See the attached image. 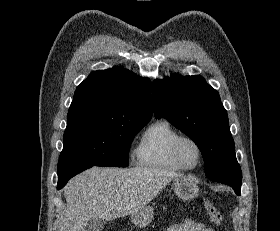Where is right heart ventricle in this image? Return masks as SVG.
Listing matches in <instances>:
<instances>
[{
	"mask_svg": "<svg viewBox=\"0 0 280 231\" xmlns=\"http://www.w3.org/2000/svg\"><path fill=\"white\" fill-rule=\"evenodd\" d=\"M181 135L167 119H157L142 132L134 150L136 164L141 167L179 171V166L171 158V146Z\"/></svg>",
	"mask_w": 280,
	"mask_h": 231,
	"instance_id": "right-heart-ventricle-1",
	"label": "right heart ventricle"
}]
</instances>
